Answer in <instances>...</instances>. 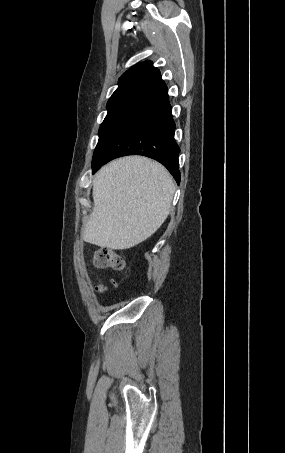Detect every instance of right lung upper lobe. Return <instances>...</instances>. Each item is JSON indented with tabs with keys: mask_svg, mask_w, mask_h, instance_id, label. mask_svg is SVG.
<instances>
[{
	"mask_svg": "<svg viewBox=\"0 0 285 453\" xmlns=\"http://www.w3.org/2000/svg\"><path fill=\"white\" fill-rule=\"evenodd\" d=\"M158 76H160V71L153 66L151 61L137 63L120 77L119 86L109 101L127 99L139 88Z\"/></svg>",
	"mask_w": 285,
	"mask_h": 453,
	"instance_id": "cb5924a9",
	"label": "right lung upper lobe"
}]
</instances>
